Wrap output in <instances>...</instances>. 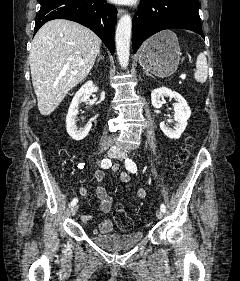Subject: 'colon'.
<instances>
[{
	"label": "colon",
	"mask_w": 240,
	"mask_h": 281,
	"mask_svg": "<svg viewBox=\"0 0 240 281\" xmlns=\"http://www.w3.org/2000/svg\"><path fill=\"white\" fill-rule=\"evenodd\" d=\"M194 138H187L185 145L179 150L176 168L179 169L183 166V164L188 160L190 155V150L194 145ZM114 219L116 221L119 229L123 231H128L132 228L133 223L131 218L126 214L125 210L121 205H118L114 211Z\"/></svg>",
	"instance_id": "1"
}]
</instances>
